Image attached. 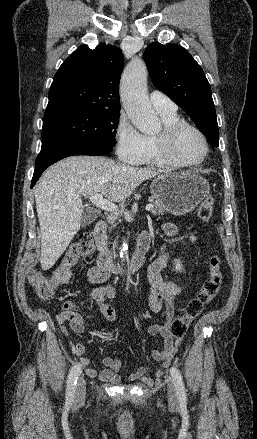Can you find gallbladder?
<instances>
[{
    "label": "gallbladder",
    "instance_id": "bac80fb5",
    "mask_svg": "<svg viewBox=\"0 0 257 439\" xmlns=\"http://www.w3.org/2000/svg\"><path fill=\"white\" fill-rule=\"evenodd\" d=\"M93 219H94V216H92L89 213V211H85L83 213V216H82V224L83 225L89 224Z\"/></svg>",
    "mask_w": 257,
    "mask_h": 439
}]
</instances>
